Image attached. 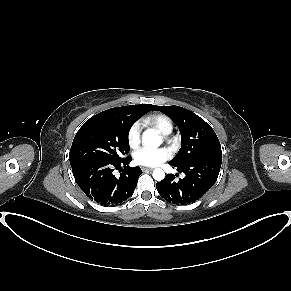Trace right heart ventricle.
<instances>
[{"label": "right heart ventricle", "instance_id": "1", "mask_svg": "<svg viewBox=\"0 0 291 291\" xmlns=\"http://www.w3.org/2000/svg\"><path fill=\"white\" fill-rule=\"evenodd\" d=\"M145 121L153 127L157 128L164 135L170 134L173 130V123L171 119L163 113L149 115Z\"/></svg>", "mask_w": 291, "mask_h": 291}]
</instances>
